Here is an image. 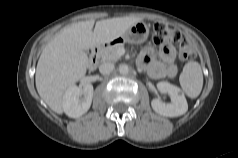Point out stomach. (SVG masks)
<instances>
[{
	"label": "stomach",
	"instance_id": "obj_1",
	"mask_svg": "<svg viewBox=\"0 0 238 158\" xmlns=\"http://www.w3.org/2000/svg\"><path fill=\"white\" fill-rule=\"evenodd\" d=\"M149 35V27L144 22H137L129 27L121 36L116 38V43L128 42L132 44H140L146 41Z\"/></svg>",
	"mask_w": 238,
	"mask_h": 158
}]
</instances>
